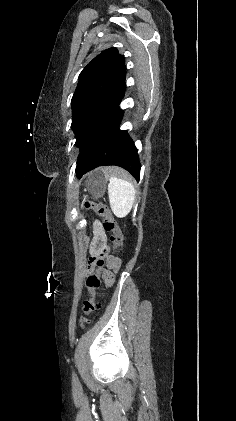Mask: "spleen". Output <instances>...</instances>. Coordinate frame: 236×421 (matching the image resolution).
I'll use <instances>...</instances> for the list:
<instances>
[{
	"instance_id": "1",
	"label": "spleen",
	"mask_w": 236,
	"mask_h": 421,
	"mask_svg": "<svg viewBox=\"0 0 236 421\" xmlns=\"http://www.w3.org/2000/svg\"><path fill=\"white\" fill-rule=\"evenodd\" d=\"M108 194L111 211L115 217L123 219L130 213L135 200V188L132 182L118 178V176H109Z\"/></svg>"
}]
</instances>
